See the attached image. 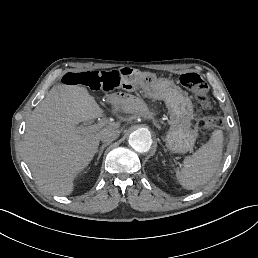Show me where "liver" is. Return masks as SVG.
<instances>
[{"instance_id":"1","label":"liver","mask_w":258,"mask_h":258,"mask_svg":"<svg viewBox=\"0 0 258 258\" xmlns=\"http://www.w3.org/2000/svg\"><path fill=\"white\" fill-rule=\"evenodd\" d=\"M113 112H146L142 100L110 98ZM102 109L87 89L78 85L52 87L26 122L23 157L37 183L53 195L73 191L76 175L88 166L99 146L100 132L80 129L76 124L102 116ZM110 122L107 127L118 128Z\"/></svg>"}]
</instances>
